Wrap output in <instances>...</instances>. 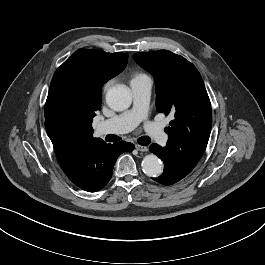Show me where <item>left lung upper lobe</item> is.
I'll return each mask as SVG.
<instances>
[{"mask_svg":"<svg viewBox=\"0 0 265 265\" xmlns=\"http://www.w3.org/2000/svg\"><path fill=\"white\" fill-rule=\"evenodd\" d=\"M155 77L156 108L174 116L165 128L164 149L182 170L190 173L202 157L210 136L212 111L202 77L184 57L167 50L133 55Z\"/></svg>","mask_w":265,"mask_h":265,"instance_id":"1","label":"left lung upper lobe"}]
</instances>
